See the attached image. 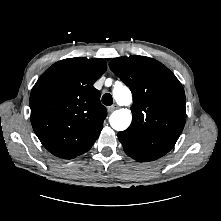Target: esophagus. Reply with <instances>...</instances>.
Returning <instances> with one entry per match:
<instances>
[{"label":"esophagus","mask_w":221,"mask_h":221,"mask_svg":"<svg viewBox=\"0 0 221 221\" xmlns=\"http://www.w3.org/2000/svg\"><path fill=\"white\" fill-rule=\"evenodd\" d=\"M118 108V105H116V104H114V105H112V106H109L108 108H107V110H108V112H113L115 109H117Z\"/></svg>","instance_id":"1"}]
</instances>
